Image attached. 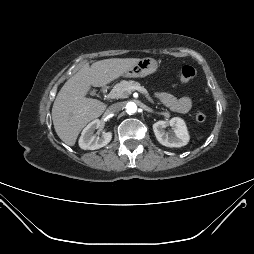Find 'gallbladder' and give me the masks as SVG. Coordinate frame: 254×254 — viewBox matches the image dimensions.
Masks as SVG:
<instances>
[{
	"label": "gallbladder",
	"mask_w": 254,
	"mask_h": 254,
	"mask_svg": "<svg viewBox=\"0 0 254 254\" xmlns=\"http://www.w3.org/2000/svg\"><path fill=\"white\" fill-rule=\"evenodd\" d=\"M90 94H91V95H94V94H95V92H94V91H91V92H90Z\"/></svg>",
	"instance_id": "bac80fb5"
}]
</instances>
